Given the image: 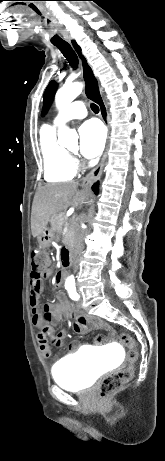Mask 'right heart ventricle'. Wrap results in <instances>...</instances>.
Listing matches in <instances>:
<instances>
[{"instance_id":"obj_1","label":"right heart ventricle","mask_w":165,"mask_h":461,"mask_svg":"<svg viewBox=\"0 0 165 461\" xmlns=\"http://www.w3.org/2000/svg\"><path fill=\"white\" fill-rule=\"evenodd\" d=\"M40 151L46 181L62 182L75 177V163L69 152L58 144L54 127L46 125L41 128Z\"/></svg>"}]
</instances>
